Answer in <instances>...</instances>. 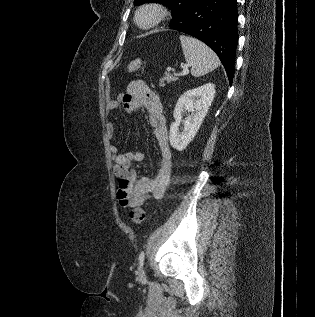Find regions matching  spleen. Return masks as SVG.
Segmentation results:
<instances>
[{
    "label": "spleen",
    "mask_w": 315,
    "mask_h": 317,
    "mask_svg": "<svg viewBox=\"0 0 315 317\" xmlns=\"http://www.w3.org/2000/svg\"><path fill=\"white\" fill-rule=\"evenodd\" d=\"M179 38L185 60L194 77L203 76L220 65L217 55L203 42L186 35H180Z\"/></svg>",
    "instance_id": "1"
}]
</instances>
